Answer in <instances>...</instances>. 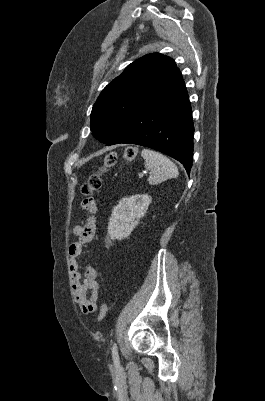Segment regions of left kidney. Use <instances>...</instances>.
Masks as SVG:
<instances>
[{"label": "left kidney", "mask_w": 265, "mask_h": 401, "mask_svg": "<svg viewBox=\"0 0 265 401\" xmlns=\"http://www.w3.org/2000/svg\"><path fill=\"white\" fill-rule=\"evenodd\" d=\"M152 201L149 194H133V196H125L119 201V205L114 207L111 219L108 225L109 239H127L131 235L133 229L137 227L140 219L144 217L150 203Z\"/></svg>", "instance_id": "left-kidney-1"}]
</instances>
